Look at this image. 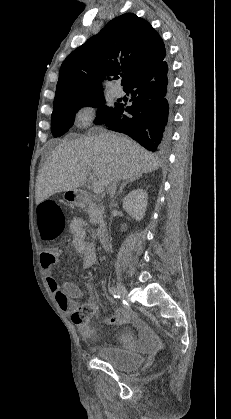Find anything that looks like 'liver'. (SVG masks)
Listing matches in <instances>:
<instances>
[{
	"mask_svg": "<svg viewBox=\"0 0 231 419\" xmlns=\"http://www.w3.org/2000/svg\"><path fill=\"white\" fill-rule=\"evenodd\" d=\"M160 161L130 138L100 132L59 144L50 154L36 179L35 199L40 204L59 192L82 187L92 170L104 187L112 180H125L155 171Z\"/></svg>",
	"mask_w": 231,
	"mask_h": 419,
	"instance_id": "1",
	"label": "liver"
}]
</instances>
